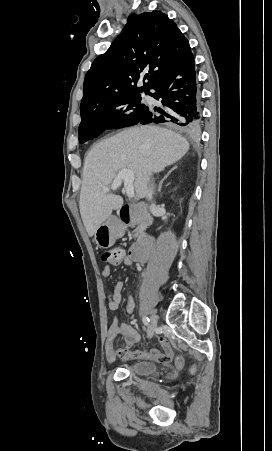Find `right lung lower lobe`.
Listing matches in <instances>:
<instances>
[{"label":"right lung lower lobe","mask_w":272,"mask_h":451,"mask_svg":"<svg viewBox=\"0 0 272 451\" xmlns=\"http://www.w3.org/2000/svg\"><path fill=\"white\" fill-rule=\"evenodd\" d=\"M152 89L156 92L147 94L165 106V110L154 109L163 115H156L150 108L138 123H167L185 133H194L198 129L201 115L191 51L172 65Z\"/></svg>","instance_id":"98d812e1"}]
</instances>
